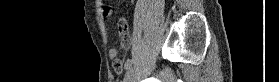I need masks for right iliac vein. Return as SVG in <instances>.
I'll use <instances>...</instances> for the list:
<instances>
[{
    "mask_svg": "<svg viewBox=\"0 0 279 82\" xmlns=\"http://www.w3.org/2000/svg\"><path fill=\"white\" fill-rule=\"evenodd\" d=\"M133 76H134V70H133V69H130V70L126 73L123 82H132Z\"/></svg>",
    "mask_w": 279,
    "mask_h": 82,
    "instance_id": "1",
    "label": "right iliac vein"
}]
</instances>
